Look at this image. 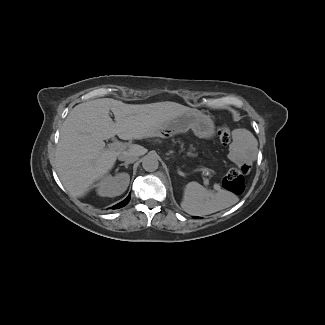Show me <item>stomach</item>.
I'll return each mask as SVG.
<instances>
[{"label":"stomach","mask_w":325,"mask_h":325,"mask_svg":"<svg viewBox=\"0 0 325 325\" xmlns=\"http://www.w3.org/2000/svg\"><path fill=\"white\" fill-rule=\"evenodd\" d=\"M190 128L199 137H210L214 132L213 122L208 116L199 112H190L159 125L158 129L153 132V135L176 136L181 131H186Z\"/></svg>","instance_id":"1"}]
</instances>
